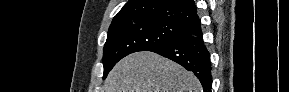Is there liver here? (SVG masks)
I'll return each mask as SVG.
<instances>
[{"instance_id": "6515ba94", "label": "liver", "mask_w": 289, "mask_h": 92, "mask_svg": "<svg viewBox=\"0 0 289 92\" xmlns=\"http://www.w3.org/2000/svg\"><path fill=\"white\" fill-rule=\"evenodd\" d=\"M105 92H202L196 76L177 63L150 51L119 61L109 73Z\"/></svg>"}]
</instances>
